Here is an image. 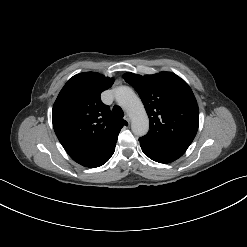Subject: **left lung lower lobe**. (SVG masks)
<instances>
[{
	"label": "left lung lower lobe",
	"instance_id": "1",
	"mask_svg": "<svg viewBox=\"0 0 247 247\" xmlns=\"http://www.w3.org/2000/svg\"><path fill=\"white\" fill-rule=\"evenodd\" d=\"M139 141L144 154L159 163L173 162L185 153L184 150L161 147L142 137L139 138Z\"/></svg>",
	"mask_w": 247,
	"mask_h": 247
}]
</instances>
